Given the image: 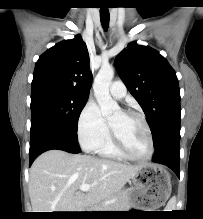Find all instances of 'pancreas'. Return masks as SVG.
<instances>
[{
  "instance_id": "cf45deb5",
  "label": "pancreas",
  "mask_w": 203,
  "mask_h": 219,
  "mask_svg": "<svg viewBox=\"0 0 203 219\" xmlns=\"http://www.w3.org/2000/svg\"><path fill=\"white\" fill-rule=\"evenodd\" d=\"M129 190H122L112 196L108 201L96 204L94 211H125L129 208Z\"/></svg>"
}]
</instances>
